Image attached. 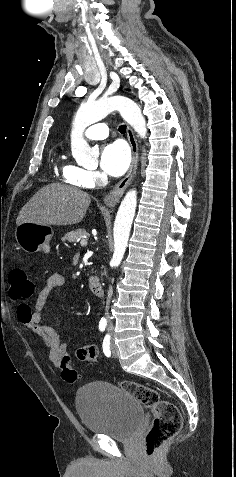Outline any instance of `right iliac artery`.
I'll return each mask as SVG.
<instances>
[{"mask_svg": "<svg viewBox=\"0 0 236 477\" xmlns=\"http://www.w3.org/2000/svg\"><path fill=\"white\" fill-rule=\"evenodd\" d=\"M106 325H107L106 321H100V322H99V330H100L101 332H103V331L105 330V328H106Z\"/></svg>", "mask_w": 236, "mask_h": 477, "instance_id": "right-iliac-artery-1", "label": "right iliac artery"}]
</instances>
